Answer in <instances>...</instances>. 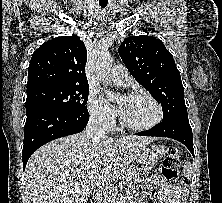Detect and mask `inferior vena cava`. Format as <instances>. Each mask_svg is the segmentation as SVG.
<instances>
[{
  "instance_id": "602c4592",
  "label": "inferior vena cava",
  "mask_w": 222,
  "mask_h": 203,
  "mask_svg": "<svg viewBox=\"0 0 222 203\" xmlns=\"http://www.w3.org/2000/svg\"><path fill=\"white\" fill-rule=\"evenodd\" d=\"M104 117L101 114H93L90 116L89 122L86 126V136L91 139L106 138L105 131L102 128ZM95 199L97 203H104L100 191L95 192Z\"/></svg>"
}]
</instances>
